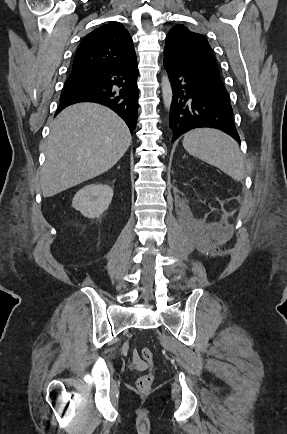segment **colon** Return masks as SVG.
Listing matches in <instances>:
<instances>
[{
	"label": "colon",
	"mask_w": 287,
	"mask_h": 434,
	"mask_svg": "<svg viewBox=\"0 0 287 434\" xmlns=\"http://www.w3.org/2000/svg\"><path fill=\"white\" fill-rule=\"evenodd\" d=\"M137 358L141 361H144L146 364H148L151 367V370L148 373L141 375L136 382V386L139 391L147 392L150 390L151 384L154 379V374L152 371L154 365L153 354L150 349L142 348L140 351V355Z\"/></svg>",
	"instance_id": "obj_1"
}]
</instances>
